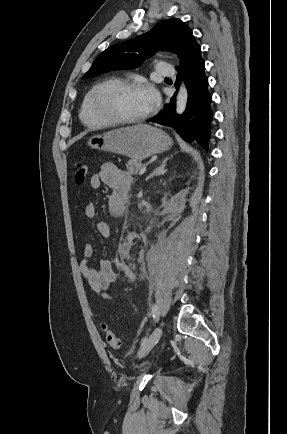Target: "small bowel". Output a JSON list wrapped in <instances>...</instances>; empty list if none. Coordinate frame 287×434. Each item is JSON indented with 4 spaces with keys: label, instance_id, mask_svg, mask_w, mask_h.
Wrapping results in <instances>:
<instances>
[{
    "label": "small bowel",
    "instance_id": "obj_1",
    "mask_svg": "<svg viewBox=\"0 0 287 434\" xmlns=\"http://www.w3.org/2000/svg\"><path fill=\"white\" fill-rule=\"evenodd\" d=\"M131 175L113 163L102 164L100 171L89 179V186L98 189L102 185L109 189L108 212L113 217L124 214L128 193L131 185ZM98 208L95 203H87L84 207V216L87 219H96ZM96 230L104 238L112 237V227L108 222H96ZM94 256V246L90 242L83 245L82 260L79 266L80 273L85 282L99 296L109 299L108 290L116 279V274L110 262L105 258L98 260V266L91 264Z\"/></svg>",
    "mask_w": 287,
    "mask_h": 434
}]
</instances>
